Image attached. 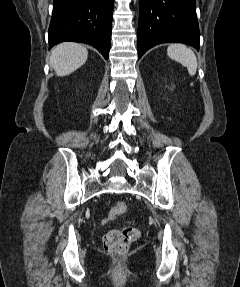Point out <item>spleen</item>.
Here are the masks:
<instances>
[{"label":"spleen","mask_w":240,"mask_h":287,"mask_svg":"<svg viewBox=\"0 0 240 287\" xmlns=\"http://www.w3.org/2000/svg\"><path fill=\"white\" fill-rule=\"evenodd\" d=\"M167 54L171 59L186 67L191 76L196 74L198 66L197 58L190 48L183 44H171L167 48Z\"/></svg>","instance_id":"1"}]
</instances>
